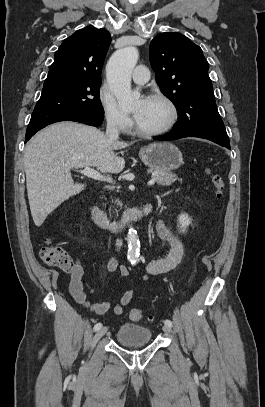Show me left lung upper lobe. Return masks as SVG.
<instances>
[{"label": "left lung upper lobe", "instance_id": "obj_1", "mask_svg": "<svg viewBox=\"0 0 265 407\" xmlns=\"http://www.w3.org/2000/svg\"><path fill=\"white\" fill-rule=\"evenodd\" d=\"M149 56L160 89L177 108L171 133L229 143L201 48L180 33L165 32L151 41Z\"/></svg>", "mask_w": 265, "mask_h": 407}]
</instances>
